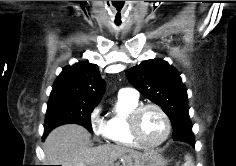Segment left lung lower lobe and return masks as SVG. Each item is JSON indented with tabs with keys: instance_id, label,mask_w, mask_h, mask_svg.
I'll return each instance as SVG.
<instances>
[{
	"instance_id": "1",
	"label": "left lung lower lobe",
	"mask_w": 236,
	"mask_h": 166,
	"mask_svg": "<svg viewBox=\"0 0 236 166\" xmlns=\"http://www.w3.org/2000/svg\"><path fill=\"white\" fill-rule=\"evenodd\" d=\"M173 126V139L178 141H184L192 146L195 145L194 135L192 129L183 122H172Z\"/></svg>"
}]
</instances>
